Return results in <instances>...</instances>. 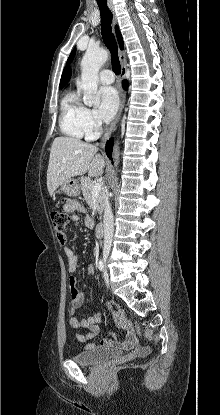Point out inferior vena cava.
Segmentation results:
<instances>
[{
    "instance_id": "inferior-vena-cava-1",
    "label": "inferior vena cava",
    "mask_w": 220,
    "mask_h": 415,
    "mask_svg": "<svg viewBox=\"0 0 220 415\" xmlns=\"http://www.w3.org/2000/svg\"><path fill=\"white\" fill-rule=\"evenodd\" d=\"M108 212L104 218V250H110L112 244V238L114 233V220L113 215L108 207Z\"/></svg>"
}]
</instances>
